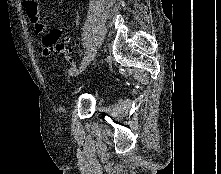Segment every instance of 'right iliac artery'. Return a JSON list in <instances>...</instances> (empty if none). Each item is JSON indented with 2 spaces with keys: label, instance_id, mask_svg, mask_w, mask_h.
I'll list each match as a JSON object with an SVG mask.
<instances>
[{
  "label": "right iliac artery",
  "instance_id": "right-iliac-artery-1",
  "mask_svg": "<svg viewBox=\"0 0 221 174\" xmlns=\"http://www.w3.org/2000/svg\"><path fill=\"white\" fill-rule=\"evenodd\" d=\"M78 73V70L76 69V68H71L70 70H69V74L70 75H75V74H77Z\"/></svg>",
  "mask_w": 221,
  "mask_h": 174
}]
</instances>
